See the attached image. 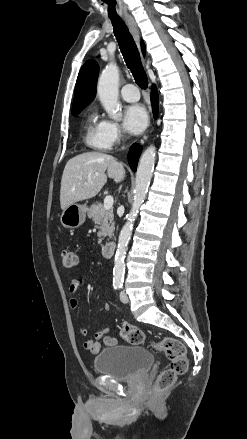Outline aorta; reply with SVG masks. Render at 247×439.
I'll return each mask as SVG.
<instances>
[{"instance_id": "762f6f07", "label": "aorta", "mask_w": 247, "mask_h": 439, "mask_svg": "<svg viewBox=\"0 0 247 439\" xmlns=\"http://www.w3.org/2000/svg\"><path fill=\"white\" fill-rule=\"evenodd\" d=\"M118 82L119 68L115 63L110 62L99 77L97 93L104 109L108 113V116L112 119H119L121 117L120 104L118 101ZM155 160L156 148L151 145L144 151L140 158L136 172L132 207L127 216V222L123 226L119 235L113 268V283L115 284H121L123 282L125 273L124 259L127 246L132 235L133 225L139 212V208L143 204L148 191Z\"/></svg>"}]
</instances>
